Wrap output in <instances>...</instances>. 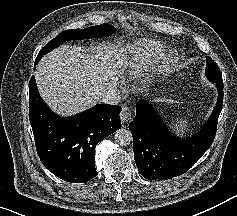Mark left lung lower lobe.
Masks as SVG:
<instances>
[{
	"instance_id": "obj_1",
	"label": "left lung lower lobe",
	"mask_w": 237,
	"mask_h": 216,
	"mask_svg": "<svg viewBox=\"0 0 237 216\" xmlns=\"http://www.w3.org/2000/svg\"><path fill=\"white\" fill-rule=\"evenodd\" d=\"M213 114L193 138H176L146 101L136 104V116L129 124L134 158L141 175L149 180L171 179L188 171L209 149L215 138L223 105V88Z\"/></svg>"
}]
</instances>
